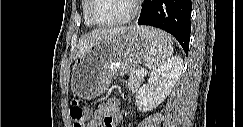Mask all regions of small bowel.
Returning a JSON list of instances; mask_svg holds the SVG:
<instances>
[{"mask_svg": "<svg viewBox=\"0 0 243 127\" xmlns=\"http://www.w3.org/2000/svg\"><path fill=\"white\" fill-rule=\"evenodd\" d=\"M121 119L120 102L116 99H110L105 103L99 104L97 109L91 115L87 127H116Z\"/></svg>", "mask_w": 243, "mask_h": 127, "instance_id": "obj_1", "label": "small bowel"}]
</instances>
